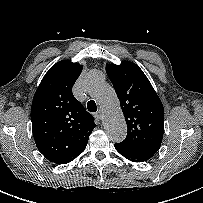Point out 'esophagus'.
<instances>
[{
    "instance_id": "1",
    "label": "esophagus",
    "mask_w": 203,
    "mask_h": 203,
    "mask_svg": "<svg viewBox=\"0 0 203 203\" xmlns=\"http://www.w3.org/2000/svg\"><path fill=\"white\" fill-rule=\"evenodd\" d=\"M99 120L103 119V111L102 110H98V112L95 115Z\"/></svg>"
}]
</instances>
